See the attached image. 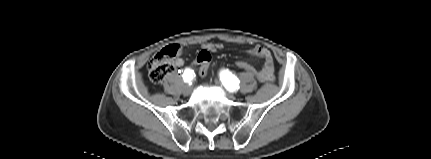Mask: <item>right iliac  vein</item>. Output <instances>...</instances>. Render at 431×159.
<instances>
[{"mask_svg": "<svg viewBox=\"0 0 431 159\" xmlns=\"http://www.w3.org/2000/svg\"><path fill=\"white\" fill-rule=\"evenodd\" d=\"M191 91H192V88H191V86H190V85H188V84H186V85L183 87V90H182L183 95H185V96L190 95Z\"/></svg>", "mask_w": 431, "mask_h": 159, "instance_id": "obj_1", "label": "right iliac vein"}]
</instances>
